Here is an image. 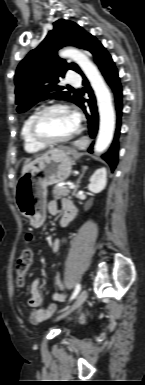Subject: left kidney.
Returning <instances> with one entry per match:
<instances>
[{
    "instance_id": "obj_1",
    "label": "left kidney",
    "mask_w": 145,
    "mask_h": 385,
    "mask_svg": "<svg viewBox=\"0 0 145 385\" xmlns=\"http://www.w3.org/2000/svg\"><path fill=\"white\" fill-rule=\"evenodd\" d=\"M107 183V170L105 167L97 169L90 178L88 189L93 193H100Z\"/></svg>"
}]
</instances>
